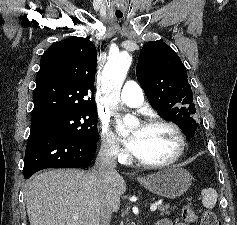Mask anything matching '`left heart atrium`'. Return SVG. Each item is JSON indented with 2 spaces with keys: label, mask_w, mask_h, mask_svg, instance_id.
Here are the masks:
<instances>
[{
  "label": "left heart atrium",
  "mask_w": 237,
  "mask_h": 225,
  "mask_svg": "<svg viewBox=\"0 0 237 225\" xmlns=\"http://www.w3.org/2000/svg\"><path fill=\"white\" fill-rule=\"evenodd\" d=\"M125 144L130 152L136 155L139 148V139L136 134H133L126 139Z\"/></svg>",
  "instance_id": "39dd6f15"
}]
</instances>
